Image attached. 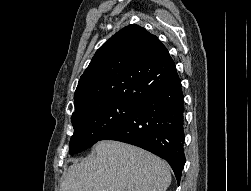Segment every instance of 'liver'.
Instances as JSON below:
<instances>
[{
  "instance_id": "1",
  "label": "liver",
  "mask_w": 251,
  "mask_h": 191,
  "mask_svg": "<svg viewBox=\"0 0 251 191\" xmlns=\"http://www.w3.org/2000/svg\"><path fill=\"white\" fill-rule=\"evenodd\" d=\"M95 155L69 165L60 191H165L170 169L161 157L122 141H98Z\"/></svg>"
}]
</instances>
